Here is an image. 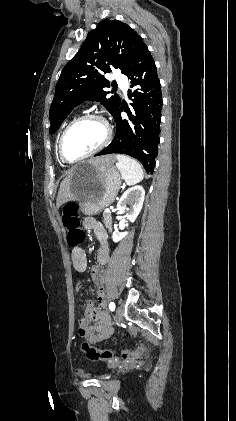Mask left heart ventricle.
I'll return each mask as SVG.
<instances>
[{"mask_svg": "<svg viewBox=\"0 0 236 421\" xmlns=\"http://www.w3.org/2000/svg\"><path fill=\"white\" fill-rule=\"evenodd\" d=\"M105 137L104 125L96 120H86L75 125L65 139L68 158L81 157L96 148Z\"/></svg>", "mask_w": 236, "mask_h": 421, "instance_id": "b2bd125f", "label": "left heart ventricle"}]
</instances>
